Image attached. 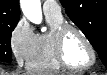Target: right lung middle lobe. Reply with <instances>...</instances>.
I'll list each match as a JSON object with an SVG mask.
<instances>
[{"label":"right lung middle lobe","instance_id":"right-lung-middle-lobe-1","mask_svg":"<svg viewBox=\"0 0 107 75\" xmlns=\"http://www.w3.org/2000/svg\"><path fill=\"white\" fill-rule=\"evenodd\" d=\"M17 23L0 25V61L11 62V34Z\"/></svg>","mask_w":107,"mask_h":75}]
</instances>
